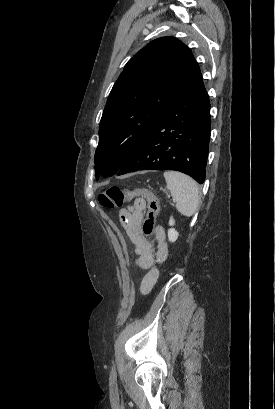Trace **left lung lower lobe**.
I'll return each instance as SVG.
<instances>
[{"label":"left lung lower lobe","mask_w":275,"mask_h":409,"mask_svg":"<svg viewBox=\"0 0 275 409\" xmlns=\"http://www.w3.org/2000/svg\"><path fill=\"white\" fill-rule=\"evenodd\" d=\"M210 100L203 82L168 109L117 172L176 170L205 181Z\"/></svg>","instance_id":"0a47b994"}]
</instances>
